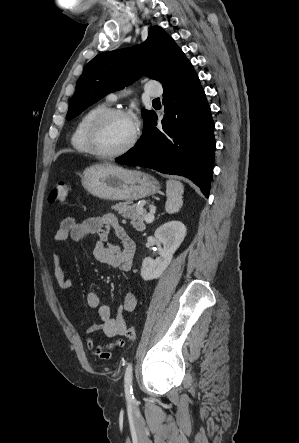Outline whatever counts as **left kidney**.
Returning a JSON list of instances; mask_svg holds the SVG:
<instances>
[{"label":"left kidney","mask_w":299,"mask_h":443,"mask_svg":"<svg viewBox=\"0 0 299 443\" xmlns=\"http://www.w3.org/2000/svg\"><path fill=\"white\" fill-rule=\"evenodd\" d=\"M186 227L182 222L171 221L160 226L155 231L156 240L164 249L155 260L146 257L142 262L141 277L144 280L157 279L171 263L173 254L179 248L186 236Z\"/></svg>","instance_id":"5707ae66"}]
</instances>
